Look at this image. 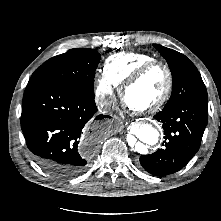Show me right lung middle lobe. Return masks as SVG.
Here are the masks:
<instances>
[{
	"mask_svg": "<svg viewBox=\"0 0 221 221\" xmlns=\"http://www.w3.org/2000/svg\"><path fill=\"white\" fill-rule=\"evenodd\" d=\"M100 57L94 49H70L43 63L28 83L42 79L94 98V76Z\"/></svg>",
	"mask_w": 221,
	"mask_h": 221,
	"instance_id": "dd1d6c3e",
	"label": "right lung middle lobe"
}]
</instances>
